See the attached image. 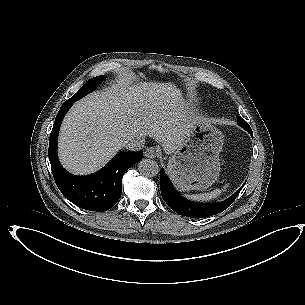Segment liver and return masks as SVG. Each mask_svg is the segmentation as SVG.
<instances>
[{
    "label": "liver",
    "mask_w": 305,
    "mask_h": 305,
    "mask_svg": "<svg viewBox=\"0 0 305 305\" xmlns=\"http://www.w3.org/2000/svg\"><path fill=\"white\" fill-rule=\"evenodd\" d=\"M194 121L179 110H154L140 86L93 93L74 103L58 138V156L72 174L98 171L118 153L127 138L149 135L167 153L175 152Z\"/></svg>",
    "instance_id": "liver-1"
}]
</instances>
